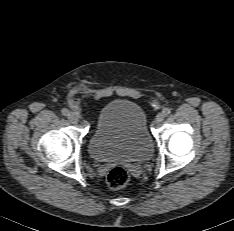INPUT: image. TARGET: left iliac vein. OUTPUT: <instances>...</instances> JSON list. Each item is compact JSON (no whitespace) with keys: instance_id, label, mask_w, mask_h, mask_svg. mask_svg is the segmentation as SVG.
<instances>
[{"instance_id":"1","label":"left iliac vein","mask_w":234,"mask_h":231,"mask_svg":"<svg viewBox=\"0 0 234 231\" xmlns=\"http://www.w3.org/2000/svg\"><path fill=\"white\" fill-rule=\"evenodd\" d=\"M165 118V115L163 112H160L156 115L155 121L156 123H161Z\"/></svg>"}]
</instances>
